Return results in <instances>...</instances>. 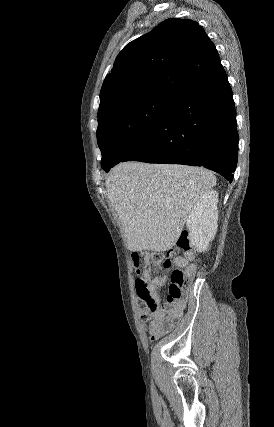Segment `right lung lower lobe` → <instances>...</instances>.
<instances>
[{
	"instance_id": "98d812e1",
	"label": "right lung lower lobe",
	"mask_w": 274,
	"mask_h": 427,
	"mask_svg": "<svg viewBox=\"0 0 274 427\" xmlns=\"http://www.w3.org/2000/svg\"><path fill=\"white\" fill-rule=\"evenodd\" d=\"M236 125L233 94L223 69L177 96L154 129L120 162L204 166L232 182L238 151ZM116 164L103 169L108 172Z\"/></svg>"
}]
</instances>
